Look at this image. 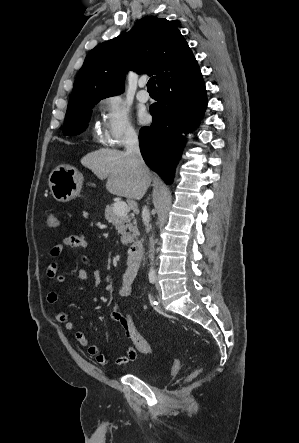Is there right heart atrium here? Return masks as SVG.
<instances>
[{
	"label": "right heart atrium",
	"mask_w": 299,
	"mask_h": 443,
	"mask_svg": "<svg viewBox=\"0 0 299 443\" xmlns=\"http://www.w3.org/2000/svg\"><path fill=\"white\" fill-rule=\"evenodd\" d=\"M101 141L111 147H118L137 136L130 111L125 102L117 95L104 97L99 102Z\"/></svg>",
	"instance_id": "right-heart-atrium-1"
}]
</instances>
